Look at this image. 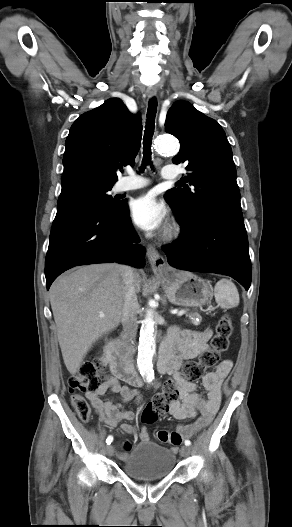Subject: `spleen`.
<instances>
[{
  "mask_svg": "<svg viewBox=\"0 0 292 527\" xmlns=\"http://www.w3.org/2000/svg\"><path fill=\"white\" fill-rule=\"evenodd\" d=\"M215 300L223 308H233L239 304V293L235 284L228 279H221L214 288Z\"/></svg>",
  "mask_w": 292,
  "mask_h": 527,
  "instance_id": "3e777b00",
  "label": "spleen"
}]
</instances>
